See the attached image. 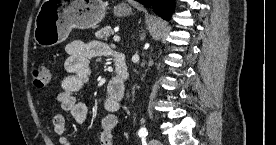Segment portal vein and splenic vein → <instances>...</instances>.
<instances>
[{
  "mask_svg": "<svg viewBox=\"0 0 276 145\" xmlns=\"http://www.w3.org/2000/svg\"><path fill=\"white\" fill-rule=\"evenodd\" d=\"M113 40H114L115 42H119V41H120V37L117 36V35H115V36L113 37Z\"/></svg>",
  "mask_w": 276,
  "mask_h": 145,
  "instance_id": "18ae733b",
  "label": "portal vein and splenic vein"
}]
</instances>
